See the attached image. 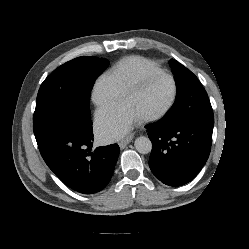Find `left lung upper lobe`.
I'll return each mask as SVG.
<instances>
[{
  "label": "left lung upper lobe",
  "mask_w": 249,
  "mask_h": 249,
  "mask_svg": "<svg viewBox=\"0 0 249 249\" xmlns=\"http://www.w3.org/2000/svg\"><path fill=\"white\" fill-rule=\"evenodd\" d=\"M169 64L175 75L177 95L173 106L161 121L167 124H184L214 117L208 95L197 77L174 59Z\"/></svg>",
  "instance_id": "obj_1"
}]
</instances>
